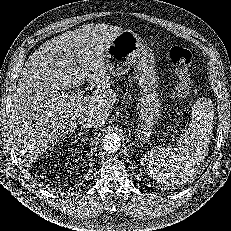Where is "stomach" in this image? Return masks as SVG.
Listing matches in <instances>:
<instances>
[{
	"mask_svg": "<svg viewBox=\"0 0 231 231\" xmlns=\"http://www.w3.org/2000/svg\"><path fill=\"white\" fill-rule=\"evenodd\" d=\"M105 59L106 69L113 77L123 76L134 66L136 81L141 90L136 137L141 142H147L161 115L153 53L138 34L132 30H123L107 47Z\"/></svg>",
	"mask_w": 231,
	"mask_h": 231,
	"instance_id": "0dacf381",
	"label": "stomach"
}]
</instances>
